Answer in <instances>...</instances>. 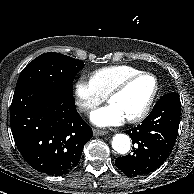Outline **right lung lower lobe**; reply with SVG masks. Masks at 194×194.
<instances>
[{
  "label": "right lung lower lobe",
  "mask_w": 194,
  "mask_h": 194,
  "mask_svg": "<svg viewBox=\"0 0 194 194\" xmlns=\"http://www.w3.org/2000/svg\"><path fill=\"white\" fill-rule=\"evenodd\" d=\"M15 144L25 161L39 172L61 176L81 158L91 127L75 108L73 95L44 87L15 90L10 109Z\"/></svg>",
  "instance_id": "1"
}]
</instances>
